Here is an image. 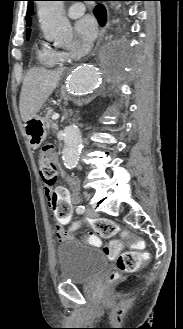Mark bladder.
Segmentation results:
<instances>
[{"label": "bladder", "instance_id": "1", "mask_svg": "<svg viewBox=\"0 0 183 329\" xmlns=\"http://www.w3.org/2000/svg\"><path fill=\"white\" fill-rule=\"evenodd\" d=\"M56 258L59 276L65 282H88L108 268V260L99 249L71 238L57 245Z\"/></svg>", "mask_w": 183, "mask_h": 329}]
</instances>
